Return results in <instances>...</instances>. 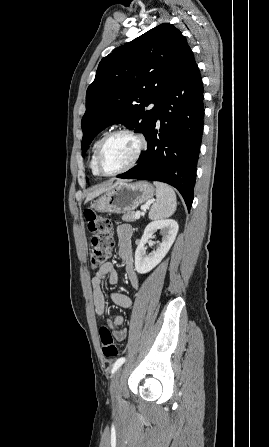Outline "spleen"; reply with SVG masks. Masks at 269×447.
I'll return each instance as SVG.
<instances>
[{"instance_id": "obj_1", "label": "spleen", "mask_w": 269, "mask_h": 447, "mask_svg": "<svg viewBox=\"0 0 269 447\" xmlns=\"http://www.w3.org/2000/svg\"><path fill=\"white\" fill-rule=\"evenodd\" d=\"M156 186V202L151 206L149 220H163L170 218L177 208L176 194L173 188L161 182H153Z\"/></svg>"}]
</instances>
